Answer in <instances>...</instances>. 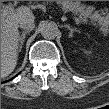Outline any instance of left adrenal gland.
<instances>
[{
	"label": "left adrenal gland",
	"instance_id": "obj_1",
	"mask_svg": "<svg viewBox=\"0 0 109 109\" xmlns=\"http://www.w3.org/2000/svg\"><path fill=\"white\" fill-rule=\"evenodd\" d=\"M65 27L70 31L69 37H73L74 32H79L78 29L72 28L70 25L66 24Z\"/></svg>",
	"mask_w": 109,
	"mask_h": 109
}]
</instances>
